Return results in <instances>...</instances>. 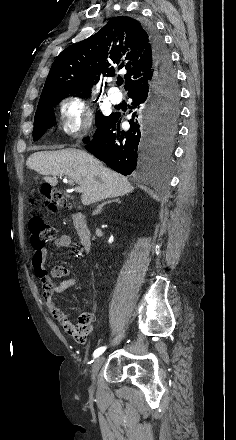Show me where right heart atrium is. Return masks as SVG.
Wrapping results in <instances>:
<instances>
[{
    "label": "right heart atrium",
    "mask_w": 236,
    "mask_h": 440,
    "mask_svg": "<svg viewBox=\"0 0 236 440\" xmlns=\"http://www.w3.org/2000/svg\"><path fill=\"white\" fill-rule=\"evenodd\" d=\"M58 119L62 131L75 138L85 135L92 125L91 112L87 103L76 95L62 99L58 108Z\"/></svg>",
    "instance_id": "right-heart-atrium-1"
}]
</instances>
